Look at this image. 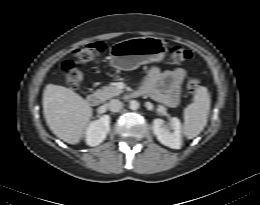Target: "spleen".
<instances>
[{"instance_id":"1","label":"spleen","mask_w":260,"mask_h":205,"mask_svg":"<svg viewBox=\"0 0 260 205\" xmlns=\"http://www.w3.org/2000/svg\"><path fill=\"white\" fill-rule=\"evenodd\" d=\"M210 103L208 89L204 86L198 87L193 102L184 109L183 131L188 139H193L203 131L207 124Z\"/></svg>"}]
</instances>
